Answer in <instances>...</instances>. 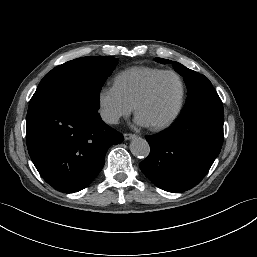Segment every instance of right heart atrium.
<instances>
[{"mask_svg": "<svg viewBox=\"0 0 257 257\" xmlns=\"http://www.w3.org/2000/svg\"><path fill=\"white\" fill-rule=\"evenodd\" d=\"M99 113L104 121L117 124L120 119L129 116L134 105L128 102L114 86H104L98 92Z\"/></svg>", "mask_w": 257, "mask_h": 257, "instance_id": "d8ad5b80", "label": "right heart atrium"}]
</instances>
